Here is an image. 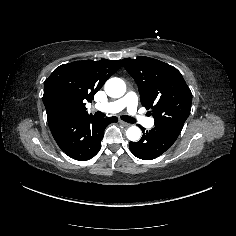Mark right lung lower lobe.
I'll return each instance as SVG.
<instances>
[{"instance_id": "98d812e1", "label": "right lung lower lobe", "mask_w": 236, "mask_h": 236, "mask_svg": "<svg viewBox=\"0 0 236 236\" xmlns=\"http://www.w3.org/2000/svg\"><path fill=\"white\" fill-rule=\"evenodd\" d=\"M117 121V117L96 119L86 115L60 121L49 127L58 146L67 156L84 161L98 153L104 129Z\"/></svg>"}]
</instances>
